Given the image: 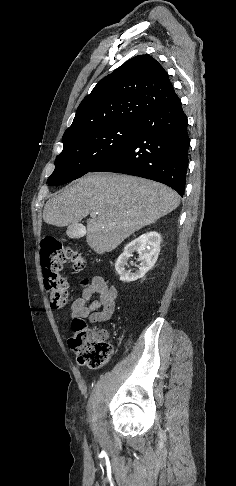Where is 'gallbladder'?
<instances>
[{
	"mask_svg": "<svg viewBox=\"0 0 236 486\" xmlns=\"http://www.w3.org/2000/svg\"><path fill=\"white\" fill-rule=\"evenodd\" d=\"M83 230H84L83 225L79 223H74L68 225L66 233L70 238H79L83 236Z\"/></svg>",
	"mask_w": 236,
	"mask_h": 486,
	"instance_id": "1",
	"label": "gallbladder"
}]
</instances>
